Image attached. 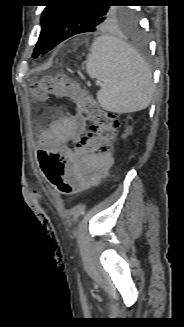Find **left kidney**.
Masks as SVG:
<instances>
[{
	"mask_svg": "<svg viewBox=\"0 0 184 327\" xmlns=\"http://www.w3.org/2000/svg\"><path fill=\"white\" fill-rule=\"evenodd\" d=\"M128 134H129V130L127 129V130L125 131V134L123 135V138L127 137Z\"/></svg>",
	"mask_w": 184,
	"mask_h": 327,
	"instance_id": "1",
	"label": "left kidney"
}]
</instances>
